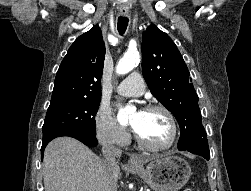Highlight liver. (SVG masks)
Returning <instances> with one entry per match:
<instances>
[{
    "label": "liver",
    "mask_w": 251,
    "mask_h": 191,
    "mask_svg": "<svg viewBox=\"0 0 251 191\" xmlns=\"http://www.w3.org/2000/svg\"><path fill=\"white\" fill-rule=\"evenodd\" d=\"M119 173L74 137H55L44 151L45 191H117Z\"/></svg>",
    "instance_id": "liver-1"
}]
</instances>
